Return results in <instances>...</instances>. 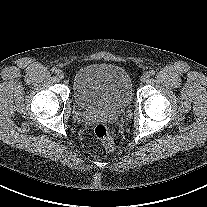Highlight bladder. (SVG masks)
I'll return each mask as SVG.
<instances>
[{"instance_id": "bladder-1", "label": "bladder", "mask_w": 207, "mask_h": 207, "mask_svg": "<svg viewBox=\"0 0 207 207\" xmlns=\"http://www.w3.org/2000/svg\"><path fill=\"white\" fill-rule=\"evenodd\" d=\"M73 96L85 111L121 110L132 100L133 84L129 73L120 66L89 64L75 73Z\"/></svg>"}]
</instances>
